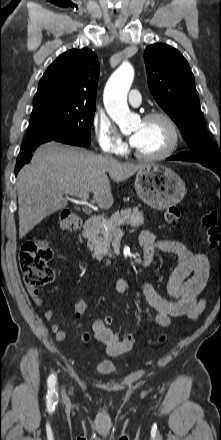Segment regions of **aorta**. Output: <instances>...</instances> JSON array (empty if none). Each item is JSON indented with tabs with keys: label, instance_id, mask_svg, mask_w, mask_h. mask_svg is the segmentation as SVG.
<instances>
[{
	"label": "aorta",
	"instance_id": "1",
	"mask_svg": "<svg viewBox=\"0 0 221 440\" xmlns=\"http://www.w3.org/2000/svg\"><path fill=\"white\" fill-rule=\"evenodd\" d=\"M134 79V70L122 64L109 78L103 95L104 106L110 118L121 128L129 126L132 114L127 104V93Z\"/></svg>",
	"mask_w": 221,
	"mask_h": 440
}]
</instances>
